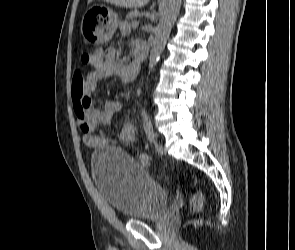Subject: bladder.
Wrapping results in <instances>:
<instances>
[{
    "instance_id": "obj_1",
    "label": "bladder",
    "mask_w": 295,
    "mask_h": 250,
    "mask_svg": "<svg viewBox=\"0 0 295 250\" xmlns=\"http://www.w3.org/2000/svg\"><path fill=\"white\" fill-rule=\"evenodd\" d=\"M94 183L104 200L132 220L158 219L166 210L170 194L131 157L116 147H104L92 154Z\"/></svg>"
}]
</instances>
